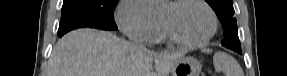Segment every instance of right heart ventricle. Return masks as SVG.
Wrapping results in <instances>:
<instances>
[{
    "label": "right heart ventricle",
    "instance_id": "e07e8e85",
    "mask_svg": "<svg viewBox=\"0 0 287 76\" xmlns=\"http://www.w3.org/2000/svg\"><path fill=\"white\" fill-rule=\"evenodd\" d=\"M158 22V25H159V29H158V34H157V37L154 41H160V40H163L165 38V34H164V31L162 29V25H161V22L160 21H157Z\"/></svg>",
    "mask_w": 287,
    "mask_h": 76
}]
</instances>
